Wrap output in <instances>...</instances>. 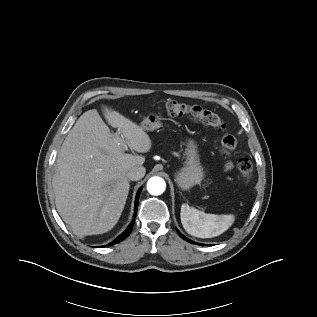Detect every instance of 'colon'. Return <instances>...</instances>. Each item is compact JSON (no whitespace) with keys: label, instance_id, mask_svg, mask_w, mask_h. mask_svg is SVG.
I'll return each instance as SVG.
<instances>
[{"label":"colon","instance_id":"1","mask_svg":"<svg viewBox=\"0 0 317 317\" xmlns=\"http://www.w3.org/2000/svg\"><path fill=\"white\" fill-rule=\"evenodd\" d=\"M167 113L172 117L188 116L217 130L224 128L223 120L215 113L198 105H190L176 100L166 103ZM237 139L231 134L222 137L219 151L221 156L227 157L236 148ZM240 177L248 182L253 176V164L249 159H239L236 165Z\"/></svg>","mask_w":317,"mask_h":317}]
</instances>
